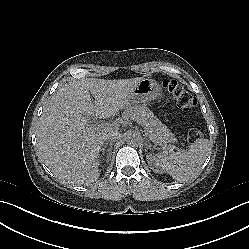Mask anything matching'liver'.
<instances>
[{
  "label": "liver",
  "instance_id": "1",
  "mask_svg": "<svg viewBox=\"0 0 249 249\" xmlns=\"http://www.w3.org/2000/svg\"><path fill=\"white\" fill-rule=\"evenodd\" d=\"M137 83L88 79L61 88L39 121L37 147L44 163L55 171L74 174L80 182L96 180L102 137L119 131L120 125L106 123L97 129L89 125L90 120L93 116L106 119L117 114L129 103Z\"/></svg>",
  "mask_w": 249,
  "mask_h": 249
}]
</instances>
